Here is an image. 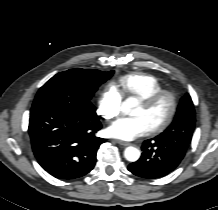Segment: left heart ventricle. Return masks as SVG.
Returning <instances> with one entry per match:
<instances>
[{
    "label": "left heart ventricle",
    "mask_w": 218,
    "mask_h": 210,
    "mask_svg": "<svg viewBox=\"0 0 218 210\" xmlns=\"http://www.w3.org/2000/svg\"><path fill=\"white\" fill-rule=\"evenodd\" d=\"M169 111V102L167 99H163L156 103L151 108H146L142 104H139L136 111L134 112L135 117H143L147 122L148 126H153L161 123L167 116Z\"/></svg>",
    "instance_id": "1"
}]
</instances>
